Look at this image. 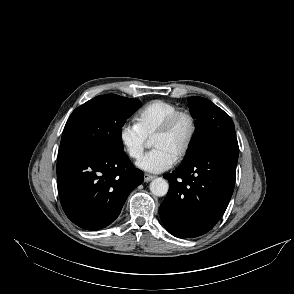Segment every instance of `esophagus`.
Listing matches in <instances>:
<instances>
[{"label": "esophagus", "mask_w": 294, "mask_h": 294, "mask_svg": "<svg viewBox=\"0 0 294 294\" xmlns=\"http://www.w3.org/2000/svg\"><path fill=\"white\" fill-rule=\"evenodd\" d=\"M154 178H155L154 175H150V174H147V173L144 174V181H145V182H150V181L153 180Z\"/></svg>", "instance_id": "1"}]
</instances>
